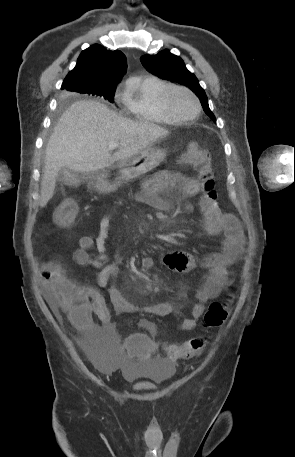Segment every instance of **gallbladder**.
<instances>
[{
    "label": "gallbladder",
    "mask_w": 295,
    "mask_h": 457,
    "mask_svg": "<svg viewBox=\"0 0 295 457\" xmlns=\"http://www.w3.org/2000/svg\"><path fill=\"white\" fill-rule=\"evenodd\" d=\"M82 179L83 175L72 172L67 168H62L57 175V180L68 186H77Z\"/></svg>",
    "instance_id": "gallbladder-1"
}]
</instances>
